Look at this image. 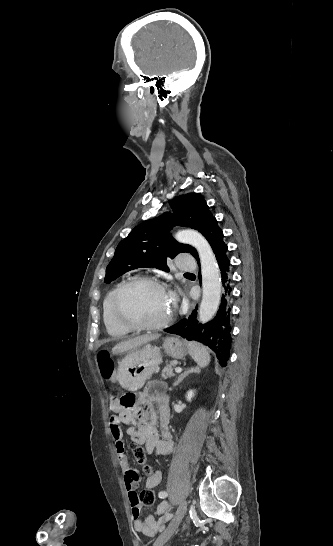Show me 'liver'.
Returning <instances> with one entry per match:
<instances>
[{
	"label": "liver",
	"mask_w": 333,
	"mask_h": 546,
	"mask_svg": "<svg viewBox=\"0 0 333 546\" xmlns=\"http://www.w3.org/2000/svg\"><path fill=\"white\" fill-rule=\"evenodd\" d=\"M160 337V335L158 334H152V335H142V336H138V337H135L133 339H129V340H126V341H123L117 345H115L112 349V354L113 355H116V354H122L124 352H130L134 349H137L138 347H140L141 345L143 344H146V343H149L151 341H154L156 339H158Z\"/></svg>",
	"instance_id": "obj_1"
}]
</instances>
